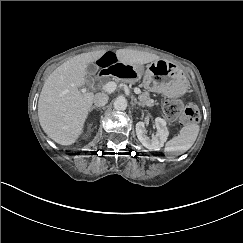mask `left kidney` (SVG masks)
Instances as JSON below:
<instances>
[{"label": "left kidney", "instance_id": "5707ae66", "mask_svg": "<svg viewBox=\"0 0 243 243\" xmlns=\"http://www.w3.org/2000/svg\"><path fill=\"white\" fill-rule=\"evenodd\" d=\"M155 126L157 128V133L150 138L146 135L145 123L138 122L136 124V135L144 147L149 150L158 151L167 141L169 131L166 126V121L160 117L155 119Z\"/></svg>", "mask_w": 243, "mask_h": 243}]
</instances>
